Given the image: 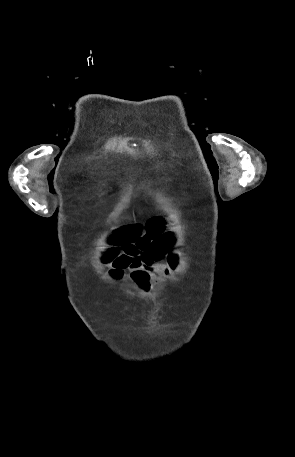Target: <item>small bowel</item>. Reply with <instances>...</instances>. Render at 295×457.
<instances>
[{
	"instance_id": "small-bowel-1",
	"label": "small bowel",
	"mask_w": 295,
	"mask_h": 457,
	"mask_svg": "<svg viewBox=\"0 0 295 457\" xmlns=\"http://www.w3.org/2000/svg\"><path fill=\"white\" fill-rule=\"evenodd\" d=\"M108 243L107 259L129 247L138 251L135 256L138 265L130 268L129 278L141 288H147L160 277L169 276L179 265L177 254L169 256L174 240L165 232V220L160 216L150 218L144 227L131 225L119 230Z\"/></svg>"
}]
</instances>
